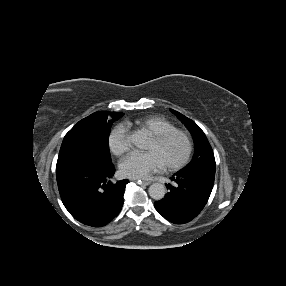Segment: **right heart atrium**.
<instances>
[{"mask_svg":"<svg viewBox=\"0 0 286 286\" xmlns=\"http://www.w3.org/2000/svg\"><path fill=\"white\" fill-rule=\"evenodd\" d=\"M107 144L110 152L116 156H121L131 149L128 130L123 125L113 127L107 137Z\"/></svg>","mask_w":286,"mask_h":286,"instance_id":"right-heart-atrium-1","label":"right heart atrium"}]
</instances>
